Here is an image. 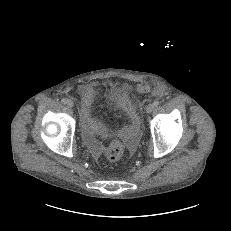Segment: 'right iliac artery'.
Wrapping results in <instances>:
<instances>
[{
  "instance_id": "82829eb1",
  "label": "right iliac artery",
  "mask_w": 231,
  "mask_h": 231,
  "mask_svg": "<svg viewBox=\"0 0 231 231\" xmlns=\"http://www.w3.org/2000/svg\"><path fill=\"white\" fill-rule=\"evenodd\" d=\"M61 102L64 103V104H66L67 103V99L66 98H62Z\"/></svg>"
}]
</instances>
